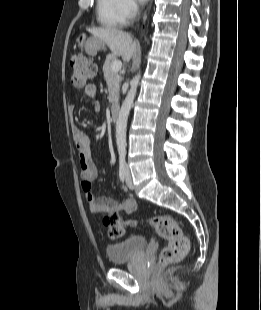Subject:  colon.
<instances>
[{
	"mask_svg": "<svg viewBox=\"0 0 261 310\" xmlns=\"http://www.w3.org/2000/svg\"><path fill=\"white\" fill-rule=\"evenodd\" d=\"M71 81L75 87L86 86L97 73V66L82 54H76L70 59ZM103 223L109 227V236L118 238L123 234L122 220L118 214H110L103 218ZM157 234L167 241L159 256V264L167 265L181 260L189 250V241L183 234L178 222L165 215H156L148 220ZM130 227L137 222L130 220Z\"/></svg>",
	"mask_w": 261,
	"mask_h": 310,
	"instance_id": "colon-1",
	"label": "colon"
}]
</instances>
